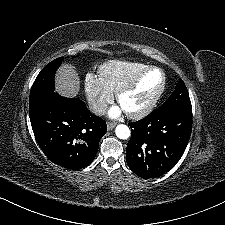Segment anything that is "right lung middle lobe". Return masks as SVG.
Masks as SVG:
<instances>
[{
  "label": "right lung middle lobe",
  "mask_w": 225,
  "mask_h": 225,
  "mask_svg": "<svg viewBox=\"0 0 225 225\" xmlns=\"http://www.w3.org/2000/svg\"><path fill=\"white\" fill-rule=\"evenodd\" d=\"M63 59V57H60L51 61L40 71L32 85L30 101L34 98L54 91V75Z\"/></svg>",
  "instance_id": "dd1d6c3e"
}]
</instances>
